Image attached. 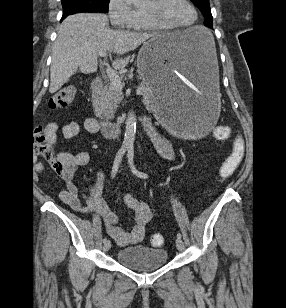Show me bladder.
Segmentation results:
<instances>
[{
	"label": "bladder",
	"mask_w": 286,
	"mask_h": 308,
	"mask_svg": "<svg viewBox=\"0 0 286 308\" xmlns=\"http://www.w3.org/2000/svg\"><path fill=\"white\" fill-rule=\"evenodd\" d=\"M168 252L163 248H149L142 244L120 248L116 260L122 266L140 272L156 270L165 265Z\"/></svg>",
	"instance_id": "bladder-1"
}]
</instances>
